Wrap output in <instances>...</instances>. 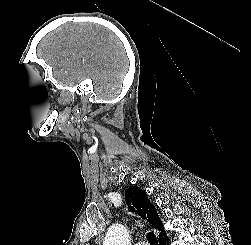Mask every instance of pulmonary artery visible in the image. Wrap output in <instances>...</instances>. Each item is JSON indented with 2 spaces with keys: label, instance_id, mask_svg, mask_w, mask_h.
I'll use <instances>...</instances> for the list:
<instances>
[{
  "label": "pulmonary artery",
  "instance_id": "1",
  "mask_svg": "<svg viewBox=\"0 0 251 245\" xmlns=\"http://www.w3.org/2000/svg\"><path fill=\"white\" fill-rule=\"evenodd\" d=\"M136 245H148V243H146V242H139Z\"/></svg>",
  "mask_w": 251,
  "mask_h": 245
}]
</instances>
